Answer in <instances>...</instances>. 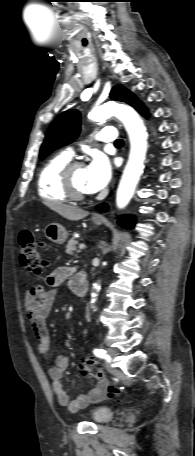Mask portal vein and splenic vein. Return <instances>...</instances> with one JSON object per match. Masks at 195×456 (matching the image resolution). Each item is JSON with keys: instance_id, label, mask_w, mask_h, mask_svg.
Wrapping results in <instances>:
<instances>
[{"instance_id": "portal-vein-and-splenic-vein-1", "label": "portal vein and splenic vein", "mask_w": 195, "mask_h": 456, "mask_svg": "<svg viewBox=\"0 0 195 456\" xmlns=\"http://www.w3.org/2000/svg\"><path fill=\"white\" fill-rule=\"evenodd\" d=\"M85 248H86V246H85L84 244H80V245H79V249H80V250H83V249H85Z\"/></svg>"}]
</instances>
